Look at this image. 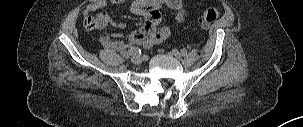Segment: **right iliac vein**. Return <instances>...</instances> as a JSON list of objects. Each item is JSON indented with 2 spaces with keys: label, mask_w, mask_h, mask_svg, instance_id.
<instances>
[{
  "label": "right iliac vein",
  "mask_w": 303,
  "mask_h": 127,
  "mask_svg": "<svg viewBox=\"0 0 303 127\" xmlns=\"http://www.w3.org/2000/svg\"><path fill=\"white\" fill-rule=\"evenodd\" d=\"M131 62L135 65H140L142 63V58L139 55H134L131 58Z\"/></svg>",
  "instance_id": "1"
}]
</instances>
